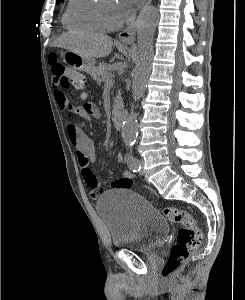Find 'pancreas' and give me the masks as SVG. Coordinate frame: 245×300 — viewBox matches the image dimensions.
Here are the masks:
<instances>
[{
	"label": "pancreas",
	"instance_id": "obj_1",
	"mask_svg": "<svg viewBox=\"0 0 245 300\" xmlns=\"http://www.w3.org/2000/svg\"><path fill=\"white\" fill-rule=\"evenodd\" d=\"M92 77L97 81L98 84L104 82L105 85L112 84L113 75L110 72V67L106 63H100L98 67H95L92 71ZM115 106L113 107L112 114L115 115L120 107L122 106V99L120 94H118L115 98Z\"/></svg>",
	"mask_w": 245,
	"mask_h": 300
}]
</instances>
